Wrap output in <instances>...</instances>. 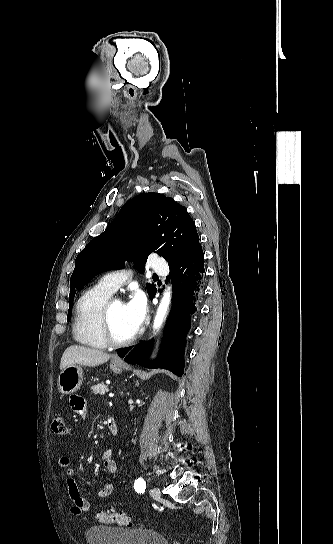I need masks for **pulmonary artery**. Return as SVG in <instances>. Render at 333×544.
Wrapping results in <instances>:
<instances>
[{
	"label": "pulmonary artery",
	"mask_w": 333,
	"mask_h": 544,
	"mask_svg": "<svg viewBox=\"0 0 333 544\" xmlns=\"http://www.w3.org/2000/svg\"><path fill=\"white\" fill-rule=\"evenodd\" d=\"M152 270L159 275H167L168 267L165 261L162 259H155L152 262ZM130 278V273L125 270L112 271L105 274L101 279L100 283L112 291L113 293L118 290L123 284H125Z\"/></svg>",
	"instance_id": "pulmonary-artery-1"
}]
</instances>
